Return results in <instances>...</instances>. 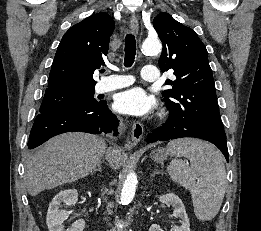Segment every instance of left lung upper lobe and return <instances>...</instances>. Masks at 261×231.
<instances>
[{"label":"left lung upper lobe","mask_w":261,"mask_h":231,"mask_svg":"<svg viewBox=\"0 0 261 231\" xmlns=\"http://www.w3.org/2000/svg\"><path fill=\"white\" fill-rule=\"evenodd\" d=\"M153 26L163 44L159 67L162 72L173 69L176 76L166 81L173 88L162 93L169 115L226 140L206 47L191 28L168 13L157 15Z\"/></svg>","instance_id":"obj_1"}]
</instances>
